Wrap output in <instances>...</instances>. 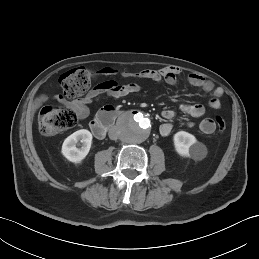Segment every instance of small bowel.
<instances>
[{
  "label": "small bowel",
  "mask_w": 259,
  "mask_h": 259,
  "mask_svg": "<svg viewBox=\"0 0 259 259\" xmlns=\"http://www.w3.org/2000/svg\"><path fill=\"white\" fill-rule=\"evenodd\" d=\"M100 73L103 76L120 75L125 78L164 82L173 86L177 83L178 76L182 73V70L177 66H168L159 70L146 69L139 72H131L128 70H119L113 67H104L100 70ZM188 82L191 85L202 88L204 91L210 93L211 99L209 101V106L212 109L218 110L221 108L220 98L223 95V89L221 87H215L211 81L196 74H190L188 76ZM139 89L140 86L134 82L121 84L114 79H107L91 88L81 98L67 100L62 95H55L52 97L43 95L38 98L37 104H42L49 100H56L68 108L73 109L79 118L84 119L89 115V105L91 103L104 98L119 99L129 94H133ZM179 109L182 113L194 118L202 117L206 111L202 104H191L187 102H181ZM161 115L167 122L160 126L159 131L161 135L167 136L172 131L173 125L171 121L175 119L176 113L171 109H165L162 111ZM189 126H193V124L189 123ZM199 129L202 133L210 135L215 132L216 125L211 118H204L199 124Z\"/></svg>",
  "instance_id": "1"
}]
</instances>
